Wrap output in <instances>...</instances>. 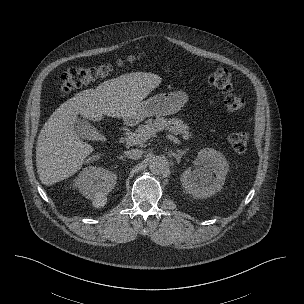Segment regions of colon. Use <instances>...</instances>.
I'll return each instance as SVG.
<instances>
[{"mask_svg":"<svg viewBox=\"0 0 304 304\" xmlns=\"http://www.w3.org/2000/svg\"><path fill=\"white\" fill-rule=\"evenodd\" d=\"M130 60H133L130 58ZM111 65L96 67H77L65 71L59 78L58 86L61 94L86 86L110 74ZM207 82L224 95V106L228 113H236L244 108L245 99L232 93V76L229 70L218 68L207 77ZM249 137L242 131L232 132L228 136L231 147L239 153L244 152L248 146Z\"/></svg>","mask_w":304,"mask_h":304,"instance_id":"1","label":"colon"}]
</instances>
